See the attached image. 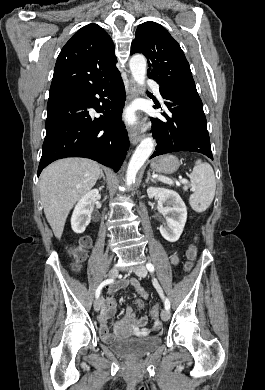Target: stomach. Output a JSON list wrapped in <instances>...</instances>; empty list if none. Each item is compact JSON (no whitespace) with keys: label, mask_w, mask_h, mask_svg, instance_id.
<instances>
[{"label":"stomach","mask_w":265,"mask_h":390,"mask_svg":"<svg viewBox=\"0 0 265 390\" xmlns=\"http://www.w3.org/2000/svg\"><path fill=\"white\" fill-rule=\"evenodd\" d=\"M151 169L158 173L172 174L176 172L180 166V161L174 155H164L155 158L151 162Z\"/></svg>","instance_id":"1"}]
</instances>
